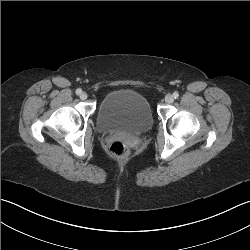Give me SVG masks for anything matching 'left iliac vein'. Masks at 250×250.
I'll return each mask as SVG.
<instances>
[{"mask_svg":"<svg viewBox=\"0 0 250 250\" xmlns=\"http://www.w3.org/2000/svg\"><path fill=\"white\" fill-rule=\"evenodd\" d=\"M173 101H174L173 95L167 94V95L165 96V102H166V103L171 104V103H173Z\"/></svg>","mask_w":250,"mask_h":250,"instance_id":"1","label":"left iliac vein"}]
</instances>
